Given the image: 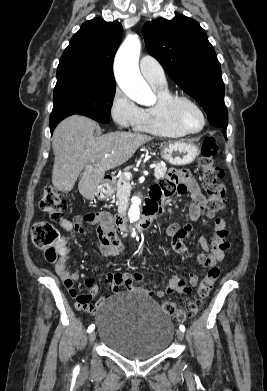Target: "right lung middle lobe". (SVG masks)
<instances>
[{
  "mask_svg": "<svg viewBox=\"0 0 267 391\" xmlns=\"http://www.w3.org/2000/svg\"><path fill=\"white\" fill-rule=\"evenodd\" d=\"M115 90L112 77L88 73L57 77L50 122L81 114L100 123H109Z\"/></svg>",
  "mask_w": 267,
  "mask_h": 391,
  "instance_id": "dd1d6c3e",
  "label": "right lung middle lobe"
}]
</instances>
